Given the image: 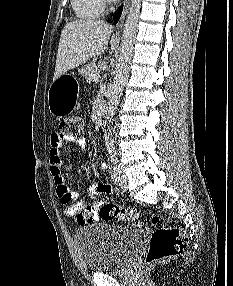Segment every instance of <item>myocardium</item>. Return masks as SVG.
<instances>
[{"label":"myocardium","mask_w":233,"mask_h":286,"mask_svg":"<svg viewBox=\"0 0 233 286\" xmlns=\"http://www.w3.org/2000/svg\"><path fill=\"white\" fill-rule=\"evenodd\" d=\"M103 2H109L110 0H102Z\"/></svg>","instance_id":"myocardium-1"}]
</instances>
